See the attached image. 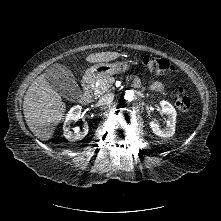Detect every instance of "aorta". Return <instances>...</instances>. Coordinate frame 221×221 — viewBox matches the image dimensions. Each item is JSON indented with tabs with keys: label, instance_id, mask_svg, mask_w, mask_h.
<instances>
[{
	"label": "aorta",
	"instance_id": "1",
	"mask_svg": "<svg viewBox=\"0 0 221 221\" xmlns=\"http://www.w3.org/2000/svg\"><path fill=\"white\" fill-rule=\"evenodd\" d=\"M124 98L128 101H132L134 98V92L131 90L126 91Z\"/></svg>",
	"mask_w": 221,
	"mask_h": 221
}]
</instances>
